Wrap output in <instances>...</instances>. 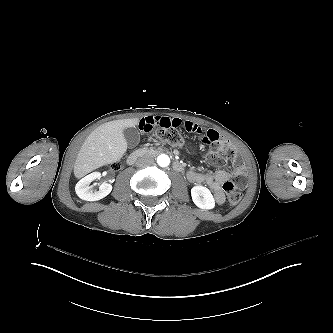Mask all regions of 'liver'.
Returning a JSON list of instances; mask_svg holds the SVG:
<instances>
[{
  "label": "liver",
  "instance_id": "liver-1",
  "mask_svg": "<svg viewBox=\"0 0 333 333\" xmlns=\"http://www.w3.org/2000/svg\"><path fill=\"white\" fill-rule=\"evenodd\" d=\"M139 123L140 118L120 119L103 123L94 129L76 157L73 168L75 178L81 179L93 170L119 162L128 148L123 130Z\"/></svg>",
  "mask_w": 333,
  "mask_h": 333
}]
</instances>
